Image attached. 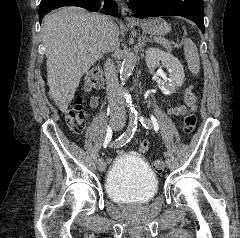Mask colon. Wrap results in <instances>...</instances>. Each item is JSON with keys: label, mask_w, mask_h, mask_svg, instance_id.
Returning a JSON list of instances; mask_svg holds the SVG:
<instances>
[{"label": "colon", "mask_w": 240, "mask_h": 238, "mask_svg": "<svg viewBox=\"0 0 240 238\" xmlns=\"http://www.w3.org/2000/svg\"><path fill=\"white\" fill-rule=\"evenodd\" d=\"M102 85V75L99 70L91 71L86 78V87L88 90L99 89ZM184 99L189 107L196 104L197 97L192 86H189L184 91ZM66 122L71 131L80 134L85 129V111L83 108V100L80 98L71 106L66 114ZM196 126V115L194 111L188 112L183 120V131L185 134L193 132ZM153 168L156 172L164 170V162L156 160L153 163Z\"/></svg>", "instance_id": "1"}]
</instances>
